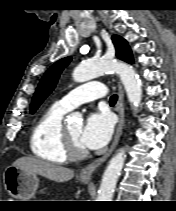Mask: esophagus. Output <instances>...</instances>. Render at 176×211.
I'll return each mask as SVG.
<instances>
[{
    "label": "esophagus",
    "instance_id": "34e87169",
    "mask_svg": "<svg viewBox=\"0 0 176 211\" xmlns=\"http://www.w3.org/2000/svg\"><path fill=\"white\" fill-rule=\"evenodd\" d=\"M118 88H119V98H118L117 106H118V114H119V124L116 130L113 143L109 151L105 155H103L101 158L95 160L94 162L88 164L87 166L81 169L79 176L82 180L91 179V176L93 172L96 170V168L99 167L103 162H105L107 158L111 155V153L114 151L122 135V131L124 127V91L120 83L118 84Z\"/></svg>",
    "mask_w": 176,
    "mask_h": 211
}]
</instances>
